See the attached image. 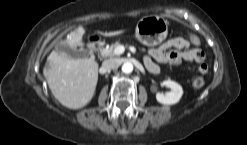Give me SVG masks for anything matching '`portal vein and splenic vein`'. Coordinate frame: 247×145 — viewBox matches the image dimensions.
Masks as SVG:
<instances>
[{
    "instance_id": "obj_1",
    "label": "portal vein and splenic vein",
    "mask_w": 247,
    "mask_h": 145,
    "mask_svg": "<svg viewBox=\"0 0 247 145\" xmlns=\"http://www.w3.org/2000/svg\"><path fill=\"white\" fill-rule=\"evenodd\" d=\"M124 51H125V47L123 45H120V46L116 47L115 50H114V52L117 55L123 54Z\"/></svg>"
}]
</instances>
